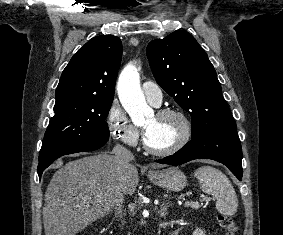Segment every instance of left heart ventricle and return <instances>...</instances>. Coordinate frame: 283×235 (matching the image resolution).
I'll list each match as a JSON object with an SVG mask.
<instances>
[{
	"instance_id": "b2bd125f",
	"label": "left heart ventricle",
	"mask_w": 283,
	"mask_h": 235,
	"mask_svg": "<svg viewBox=\"0 0 283 235\" xmlns=\"http://www.w3.org/2000/svg\"><path fill=\"white\" fill-rule=\"evenodd\" d=\"M147 142L156 149H166L173 145L182 132V124L176 117H150L143 125Z\"/></svg>"
}]
</instances>
